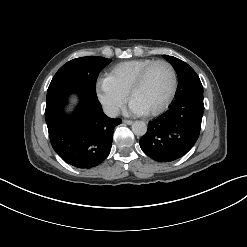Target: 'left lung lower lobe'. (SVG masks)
Returning a JSON list of instances; mask_svg holds the SVG:
<instances>
[{
	"instance_id": "obj_1",
	"label": "left lung lower lobe",
	"mask_w": 247,
	"mask_h": 247,
	"mask_svg": "<svg viewBox=\"0 0 247 247\" xmlns=\"http://www.w3.org/2000/svg\"><path fill=\"white\" fill-rule=\"evenodd\" d=\"M203 112V93L175 99L165 113L149 122L146 134L139 141L142 151L159 162L182 157L199 137Z\"/></svg>"
}]
</instances>
